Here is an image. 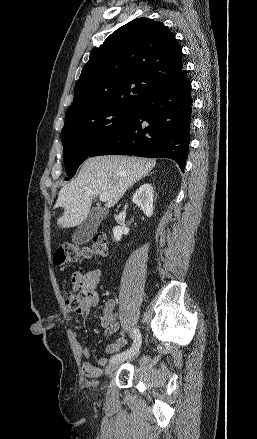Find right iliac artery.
<instances>
[{
  "label": "right iliac artery",
  "mask_w": 257,
  "mask_h": 439,
  "mask_svg": "<svg viewBox=\"0 0 257 439\" xmlns=\"http://www.w3.org/2000/svg\"><path fill=\"white\" fill-rule=\"evenodd\" d=\"M132 338H133L132 346L129 349L112 356L110 359V362H116V361L122 360V359L125 360L128 357L135 355L139 351V348H140L141 342H142V338H141V333L139 332V330L137 328L133 329Z\"/></svg>",
  "instance_id": "1"
}]
</instances>
